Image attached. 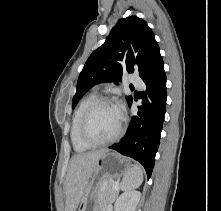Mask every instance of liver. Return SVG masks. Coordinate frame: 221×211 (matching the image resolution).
<instances>
[{
  "instance_id": "liver-1",
  "label": "liver",
  "mask_w": 221,
  "mask_h": 211,
  "mask_svg": "<svg viewBox=\"0 0 221 211\" xmlns=\"http://www.w3.org/2000/svg\"><path fill=\"white\" fill-rule=\"evenodd\" d=\"M107 152L108 150H97L77 154L71 158L65 181V211H76L87 177L98 158Z\"/></svg>"
}]
</instances>
